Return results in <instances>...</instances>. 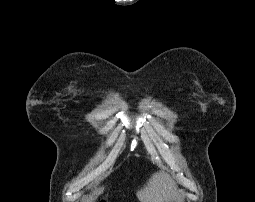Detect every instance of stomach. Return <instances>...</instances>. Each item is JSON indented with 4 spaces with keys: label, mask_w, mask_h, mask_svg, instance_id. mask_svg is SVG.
<instances>
[{
    "label": "stomach",
    "mask_w": 255,
    "mask_h": 202,
    "mask_svg": "<svg viewBox=\"0 0 255 202\" xmlns=\"http://www.w3.org/2000/svg\"><path fill=\"white\" fill-rule=\"evenodd\" d=\"M164 202H174L172 199L165 200Z\"/></svg>",
    "instance_id": "0dacf381"
}]
</instances>
